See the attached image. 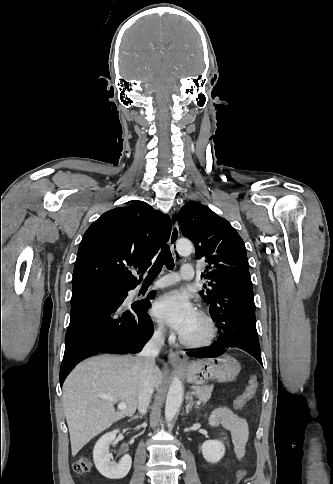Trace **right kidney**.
Listing matches in <instances>:
<instances>
[{"instance_id":"ca27d5eb","label":"right kidney","mask_w":333,"mask_h":484,"mask_svg":"<svg viewBox=\"0 0 333 484\" xmlns=\"http://www.w3.org/2000/svg\"><path fill=\"white\" fill-rule=\"evenodd\" d=\"M118 430H113L103 435L96 443L93 451V459L97 470L106 478L122 479L130 471L132 459L125 455L115 463L111 461L112 454L109 452V445L116 439Z\"/></svg>"}]
</instances>
